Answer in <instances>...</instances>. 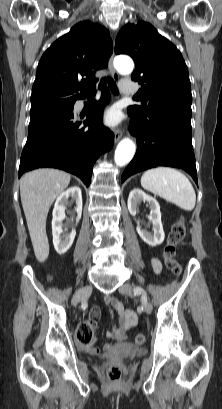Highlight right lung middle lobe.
Here are the masks:
<instances>
[{
	"mask_svg": "<svg viewBox=\"0 0 222 409\" xmlns=\"http://www.w3.org/2000/svg\"><path fill=\"white\" fill-rule=\"evenodd\" d=\"M56 105H59V104H44V105L31 107V112H30L31 119L42 115L43 113L47 112L48 110H50Z\"/></svg>",
	"mask_w": 222,
	"mask_h": 409,
	"instance_id": "obj_1",
	"label": "right lung middle lobe"
}]
</instances>
